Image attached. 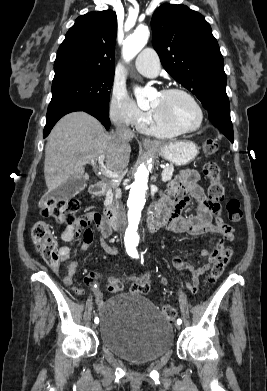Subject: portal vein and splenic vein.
Segmentation results:
<instances>
[{"label": "portal vein and splenic vein", "instance_id": "obj_1", "mask_svg": "<svg viewBox=\"0 0 267 391\" xmlns=\"http://www.w3.org/2000/svg\"><path fill=\"white\" fill-rule=\"evenodd\" d=\"M104 159H105V155H101L100 157H99V162L100 163H102L103 161H104ZM92 163H94V162H92ZM161 168H165V166L164 165H161ZM100 172L103 174V175H105V176H107V177H110V178H119L120 177V175H119V173H117V172H114V171H111V170H108V169H106V168H101L100 169Z\"/></svg>", "mask_w": 267, "mask_h": 391}]
</instances>
